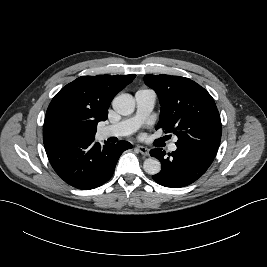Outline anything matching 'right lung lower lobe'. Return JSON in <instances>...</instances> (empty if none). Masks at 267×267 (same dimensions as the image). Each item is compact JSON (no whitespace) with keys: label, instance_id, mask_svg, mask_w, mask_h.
Returning <instances> with one entry per match:
<instances>
[{"label":"right lung lower lobe","instance_id":"98d812e1","mask_svg":"<svg viewBox=\"0 0 267 267\" xmlns=\"http://www.w3.org/2000/svg\"><path fill=\"white\" fill-rule=\"evenodd\" d=\"M44 146L55 172L78 189H93L107 182L121 154L132 148L127 141L101 146L94 139L47 140Z\"/></svg>","mask_w":267,"mask_h":267}]
</instances>
